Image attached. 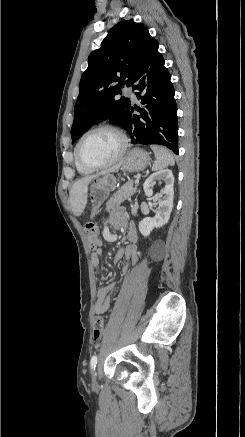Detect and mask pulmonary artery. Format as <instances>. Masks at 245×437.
<instances>
[{
    "label": "pulmonary artery",
    "mask_w": 245,
    "mask_h": 437,
    "mask_svg": "<svg viewBox=\"0 0 245 437\" xmlns=\"http://www.w3.org/2000/svg\"><path fill=\"white\" fill-rule=\"evenodd\" d=\"M124 91L126 94L130 95L132 99H136L134 91L131 87H125Z\"/></svg>",
    "instance_id": "pulmonary-artery-1"
}]
</instances>
